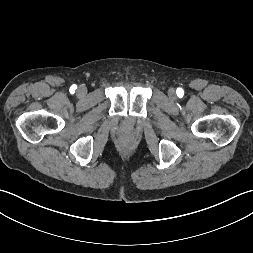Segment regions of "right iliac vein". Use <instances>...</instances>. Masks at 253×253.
Returning <instances> with one entry per match:
<instances>
[{
  "instance_id": "obj_1",
  "label": "right iliac vein",
  "mask_w": 253,
  "mask_h": 253,
  "mask_svg": "<svg viewBox=\"0 0 253 253\" xmlns=\"http://www.w3.org/2000/svg\"><path fill=\"white\" fill-rule=\"evenodd\" d=\"M86 93H87V89H86V87H84V86H80V87L77 89V94H78V96H80V97H83Z\"/></svg>"
}]
</instances>
